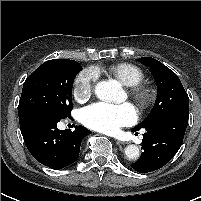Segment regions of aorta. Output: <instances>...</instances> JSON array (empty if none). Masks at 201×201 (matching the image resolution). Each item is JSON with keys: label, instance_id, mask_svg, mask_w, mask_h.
<instances>
[{"label": "aorta", "instance_id": "obj_1", "mask_svg": "<svg viewBox=\"0 0 201 201\" xmlns=\"http://www.w3.org/2000/svg\"><path fill=\"white\" fill-rule=\"evenodd\" d=\"M121 87L116 81H101L95 86L97 98L104 101H114L119 94ZM125 155L129 160H136L140 156L138 146L131 144L125 148Z\"/></svg>", "mask_w": 201, "mask_h": 201}]
</instances>
